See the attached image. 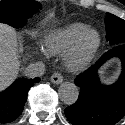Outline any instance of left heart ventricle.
<instances>
[{"mask_svg":"<svg viewBox=\"0 0 125 125\" xmlns=\"http://www.w3.org/2000/svg\"><path fill=\"white\" fill-rule=\"evenodd\" d=\"M95 41H96L95 34L93 33L88 34L81 45V52L82 53L85 52L90 46L94 44Z\"/></svg>","mask_w":125,"mask_h":125,"instance_id":"1","label":"left heart ventricle"}]
</instances>
